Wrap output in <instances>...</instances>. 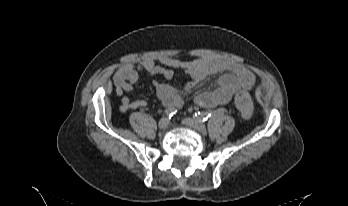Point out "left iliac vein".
Instances as JSON below:
<instances>
[{
	"label": "left iliac vein",
	"mask_w": 348,
	"mask_h": 206,
	"mask_svg": "<svg viewBox=\"0 0 348 206\" xmlns=\"http://www.w3.org/2000/svg\"><path fill=\"white\" fill-rule=\"evenodd\" d=\"M183 123L186 126L192 128L194 130L200 131V132H204L206 130L205 124L202 121L195 119V118H185L183 120Z\"/></svg>",
	"instance_id": "left-iliac-vein-1"
}]
</instances>
